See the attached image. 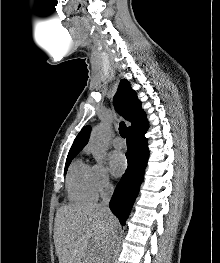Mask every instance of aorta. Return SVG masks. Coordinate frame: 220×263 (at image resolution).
I'll list each match as a JSON object with an SVG mask.
<instances>
[{
  "label": "aorta",
  "mask_w": 220,
  "mask_h": 263,
  "mask_svg": "<svg viewBox=\"0 0 220 263\" xmlns=\"http://www.w3.org/2000/svg\"><path fill=\"white\" fill-rule=\"evenodd\" d=\"M109 127L106 124L99 125L91 136V145L95 160L101 164L106 157L108 149Z\"/></svg>",
  "instance_id": "762f6f07"
}]
</instances>
